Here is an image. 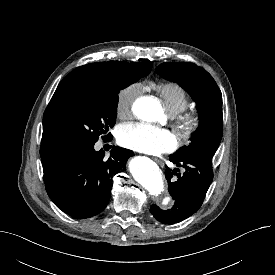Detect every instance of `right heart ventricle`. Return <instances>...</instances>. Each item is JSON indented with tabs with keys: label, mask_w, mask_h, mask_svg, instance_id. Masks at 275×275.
<instances>
[{
	"label": "right heart ventricle",
	"mask_w": 275,
	"mask_h": 275,
	"mask_svg": "<svg viewBox=\"0 0 275 275\" xmlns=\"http://www.w3.org/2000/svg\"><path fill=\"white\" fill-rule=\"evenodd\" d=\"M156 92L162 99L167 111L173 116L184 111L190 103L185 89L174 82L159 84L156 87Z\"/></svg>",
	"instance_id": "1"
}]
</instances>
